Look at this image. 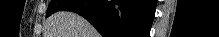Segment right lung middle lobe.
Returning <instances> with one entry per match:
<instances>
[{
  "label": "right lung middle lobe",
  "mask_w": 219,
  "mask_h": 37,
  "mask_svg": "<svg viewBox=\"0 0 219 37\" xmlns=\"http://www.w3.org/2000/svg\"><path fill=\"white\" fill-rule=\"evenodd\" d=\"M70 2L72 1L71 0H52L47 9V17L52 15L55 12L61 11L62 8Z\"/></svg>",
  "instance_id": "obj_1"
}]
</instances>
